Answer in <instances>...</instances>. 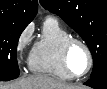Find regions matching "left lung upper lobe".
<instances>
[{"mask_svg": "<svg viewBox=\"0 0 107 89\" xmlns=\"http://www.w3.org/2000/svg\"><path fill=\"white\" fill-rule=\"evenodd\" d=\"M42 6L59 15L86 42L93 56L96 76L107 68V0H40Z\"/></svg>", "mask_w": 107, "mask_h": 89, "instance_id": "5c2ea615", "label": "left lung upper lobe"}]
</instances>
